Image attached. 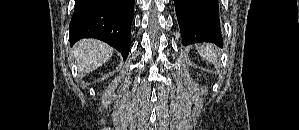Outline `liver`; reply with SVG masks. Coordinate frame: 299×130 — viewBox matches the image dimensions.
I'll return each instance as SVG.
<instances>
[{"label": "liver", "mask_w": 299, "mask_h": 130, "mask_svg": "<svg viewBox=\"0 0 299 130\" xmlns=\"http://www.w3.org/2000/svg\"><path fill=\"white\" fill-rule=\"evenodd\" d=\"M79 72L88 74L105 64L113 55V48L95 39H83L73 48Z\"/></svg>", "instance_id": "6515ba94"}]
</instances>
